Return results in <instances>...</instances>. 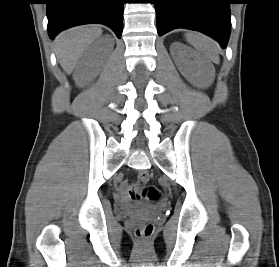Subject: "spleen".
Masks as SVG:
<instances>
[{
	"label": "spleen",
	"mask_w": 279,
	"mask_h": 267,
	"mask_svg": "<svg viewBox=\"0 0 279 267\" xmlns=\"http://www.w3.org/2000/svg\"><path fill=\"white\" fill-rule=\"evenodd\" d=\"M185 36L187 41L207 59L216 64L220 62L217 46L210 38L197 33H187Z\"/></svg>",
	"instance_id": "1"
}]
</instances>
